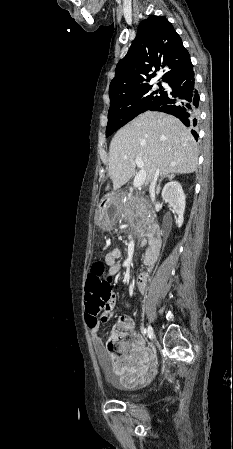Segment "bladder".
<instances>
[{
  "label": "bladder",
  "instance_id": "bladder-1",
  "mask_svg": "<svg viewBox=\"0 0 233 449\" xmlns=\"http://www.w3.org/2000/svg\"><path fill=\"white\" fill-rule=\"evenodd\" d=\"M115 387L120 392V394H122L127 399H130L133 397V395L129 391L125 390L121 385L115 384Z\"/></svg>",
  "mask_w": 233,
  "mask_h": 449
}]
</instances>
